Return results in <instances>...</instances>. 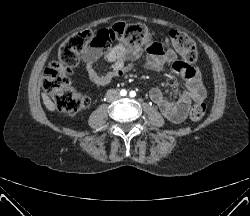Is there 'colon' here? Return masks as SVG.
Instances as JSON below:
<instances>
[{
	"label": "colon",
	"instance_id": "colon-1",
	"mask_svg": "<svg viewBox=\"0 0 250 216\" xmlns=\"http://www.w3.org/2000/svg\"><path fill=\"white\" fill-rule=\"evenodd\" d=\"M171 49L180 54L185 62L192 64L197 59V48L185 33L169 31L162 38ZM154 40L153 33L141 23H116L97 32L86 30L69 37L59 48L58 57L44 71L43 88L51 96L56 108L65 114L75 115L89 105V98L77 92L70 82L73 67L80 60V53L89 47L106 49L114 42L131 48H141ZM206 103L196 101L191 110L192 121H199L206 112Z\"/></svg>",
	"mask_w": 250,
	"mask_h": 216
}]
</instances>
